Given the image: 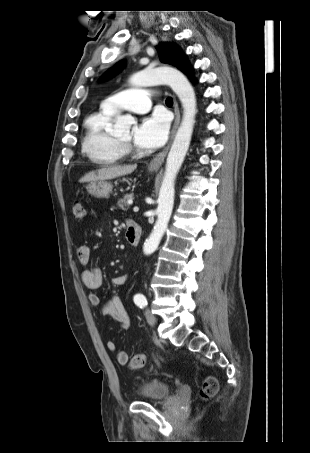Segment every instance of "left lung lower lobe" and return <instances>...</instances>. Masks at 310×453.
I'll list each match as a JSON object with an SVG mask.
<instances>
[{"label":"left lung lower lobe","instance_id":"left-lung-lower-lobe-1","mask_svg":"<svg viewBox=\"0 0 310 453\" xmlns=\"http://www.w3.org/2000/svg\"><path fill=\"white\" fill-rule=\"evenodd\" d=\"M180 70H182L189 78H192L191 67L187 60L181 66Z\"/></svg>","mask_w":310,"mask_h":453}]
</instances>
